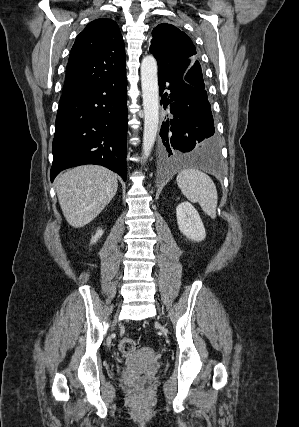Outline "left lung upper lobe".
<instances>
[{
  "label": "left lung upper lobe",
  "mask_w": 299,
  "mask_h": 427,
  "mask_svg": "<svg viewBox=\"0 0 299 427\" xmlns=\"http://www.w3.org/2000/svg\"><path fill=\"white\" fill-rule=\"evenodd\" d=\"M150 52L157 61L177 62L189 59L184 78L195 87L205 89L201 65L196 60V48L187 34L167 23H161L152 31Z\"/></svg>",
  "instance_id": "left-lung-upper-lobe-1"
}]
</instances>
